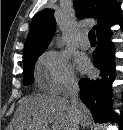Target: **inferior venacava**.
I'll list each match as a JSON object with an SVG mask.
<instances>
[{"mask_svg":"<svg viewBox=\"0 0 123 130\" xmlns=\"http://www.w3.org/2000/svg\"><path fill=\"white\" fill-rule=\"evenodd\" d=\"M78 93L79 85L75 80H71L68 86L67 96L71 101V111H72V121H71V130H79V124L81 121V111L78 104Z\"/></svg>","mask_w":123,"mask_h":130,"instance_id":"1","label":"inferior vena cava"}]
</instances>
